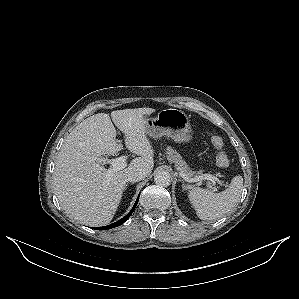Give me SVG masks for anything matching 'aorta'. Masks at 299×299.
<instances>
[{
  "label": "aorta",
  "mask_w": 299,
  "mask_h": 299,
  "mask_svg": "<svg viewBox=\"0 0 299 299\" xmlns=\"http://www.w3.org/2000/svg\"><path fill=\"white\" fill-rule=\"evenodd\" d=\"M154 181L158 186L167 187L171 183V175L167 171H158L154 176Z\"/></svg>",
  "instance_id": "aorta-1"
}]
</instances>
